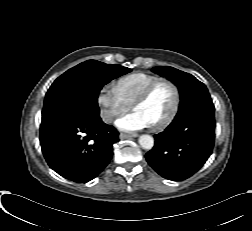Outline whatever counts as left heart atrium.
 Wrapping results in <instances>:
<instances>
[{
	"label": "left heart atrium",
	"instance_id": "1",
	"mask_svg": "<svg viewBox=\"0 0 252 231\" xmlns=\"http://www.w3.org/2000/svg\"><path fill=\"white\" fill-rule=\"evenodd\" d=\"M116 126L123 131H137L149 127L146 120L138 113L133 111L122 116L116 121Z\"/></svg>",
	"mask_w": 252,
	"mask_h": 231
}]
</instances>
